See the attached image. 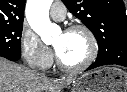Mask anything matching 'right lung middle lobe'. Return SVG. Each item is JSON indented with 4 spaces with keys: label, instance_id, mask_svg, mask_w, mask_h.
I'll use <instances>...</instances> for the list:
<instances>
[{
    "label": "right lung middle lobe",
    "instance_id": "right-lung-middle-lobe-1",
    "mask_svg": "<svg viewBox=\"0 0 127 92\" xmlns=\"http://www.w3.org/2000/svg\"><path fill=\"white\" fill-rule=\"evenodd\" d=\"M22 24L0 25V50L21 54Z\"/></svg>",
    "mask_w": 127,
    "mask_h": 92
}]
</instances>
